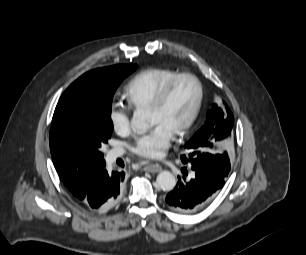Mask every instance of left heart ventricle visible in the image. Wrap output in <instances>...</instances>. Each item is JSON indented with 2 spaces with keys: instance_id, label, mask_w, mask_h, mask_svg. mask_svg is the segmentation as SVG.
<instances>
[{
  "instance_id": "b2bd125f",
  "label": "left heart ventricle",
  "mask_w": 306,
  "mask_h": 255,
  "mask_svg": "<svg viewBox=\"0 0 306 255\" xmlns=\"http://www.w3.org/2000/svg\"><path fill=\"white\" fill-rule=\"evenodd\" d=\"M198 97V87L190 78L180 79L173 87L164 105L149 111L153 125H162L172 134L192 114Z\"/></svg>"
}]
</instances>
